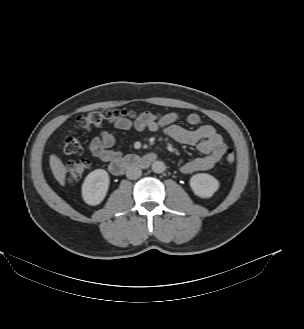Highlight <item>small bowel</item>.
<instances>
[{
	"instance_id": "small-bowel-1",
	"label": "small bowel",
	"mask_w": 304,
	"mask_h": 329,
	"mask_svg": "<svg viewBox=\"0 0 304 329\" xmlns=\"http://www.w3.org/2000/svg\"><path fill=\"white\" fill-rule=\"evenodd\" d=\"M150 113V112H149ZM152 114V113H151ZM180 114L178 112L155 113L152 121L143 123L141 121H130L121 119L112 122V126L120 130L135 131H158L163 132L173 140L188 146H194L203 156L193 158L181 166V171L191 174L198 171L212 169L223 157L227 145L223 137L209 124H202L201 117L197 113H189L185 121L194 129H187L178 124ZM115 144V136L110 130H103L99 137L91 140L89 149L92 155L104 163L111 162L121 156V152L112 147Z\"/></svg>"
}]
</instances>
